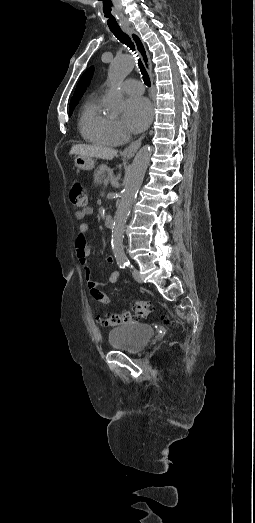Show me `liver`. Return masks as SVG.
Instances as JSON below:
<instances>
[{
	"label": "liver",
	"instance_id": "liver-1",
	"mask_svg": "<svg viewBox=\"0 0 255 523\" xmlns=\"http://www.w3.org/2000/svg\"><path fill=\"white\" fill-rule=\"evenodd\" d=\"M70 154H79L83 158H101V160H113L116 156V150L110 148H98V146H86V144H77L70 150Z\"/></svg>",
	"mask_w": 255,
	"mask_h": 523
}]
</instances>
